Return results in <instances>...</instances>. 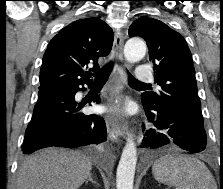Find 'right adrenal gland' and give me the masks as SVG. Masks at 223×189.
I'll list each match as a JSON object with an SVG mask.
<instances>
[{
  "mask_svg": "<svg viewBox=\"0 0 223 189\" xmlns=\"http://www.w3.org/2000/svg\"><path fill=\"white\" fill-rule=\"evenodd\" d=\"M89 181L92 182V183H94V184H97L96 181L93 180L91 174L88 175V179L86 180V184H87Z\"/></svg>",
  "mask_w": 223,
  "mask_h": 189,
  "instance_id": "obj_1",
  "label": "right adrenal gland"
}]
</instances>
